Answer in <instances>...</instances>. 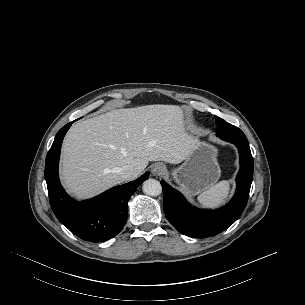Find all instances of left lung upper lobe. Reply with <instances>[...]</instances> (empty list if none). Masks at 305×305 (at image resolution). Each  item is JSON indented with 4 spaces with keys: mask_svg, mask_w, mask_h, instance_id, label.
<instances>
[{
    "mask_svg": "<svg viewBox=\"0 0 305 305\" xmlns=\"http://www.w3.org/2000/svg\"><path fill=\"white\" fill-rule=\"evenodd\" d=\"M216 125H217L216 135L221 139H235L244 142L247 141L246 136L238 127L227 123L226 121H224L223 119L217 116H216Z\"/></svg>",
    "mask_w": 305,
    "mask_h": 305,
    "instance_id": "obj_1",
    "label": "left lung upper lobe"
}]
</instances>
